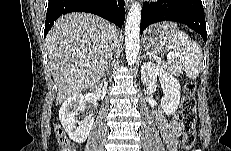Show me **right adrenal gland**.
Instances as JSON below:
<instances>
[{"label":"right adrenal gland","instance_id":"right-adrenal-gland-1","mask_svg":"<svg viewBox=\"0 0 231 151\" xmlns=\"http://www.w3.org/2000/svg\"><path fill=\"white\" fill-rule=\"evenodd\" d=\"M109 64H110V63H108L107 66H106V70H105V74H104V75H106V73L109 72Z\"/></svg>","mask_w":231,"mask_h":151}]
</instances>
